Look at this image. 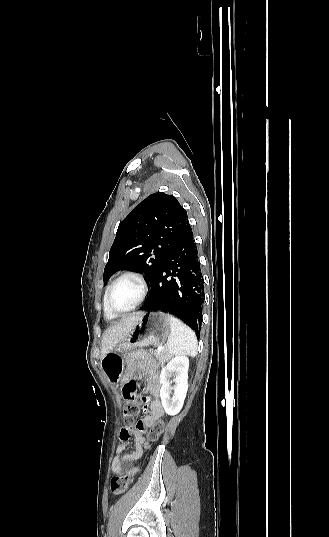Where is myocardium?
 <instances>
[{"label":"myocardium","instance_id":"1","mask_svg":"<svg viewBox=\"0 0 329 537\" xmlns=\"http://www.w3.org/2000/svg\"><path fill=\"white\" fill-rule=\"evenodd\" d=\"M124 278H134L139 282V284L141 286V296L138 299V301L131 308H129L127 310H124V311H118L111 304V295H112V292H113L114 288L116 287V285ZM147 293H148V283H147L146 278L141 273H139L137 271H125L122 274H120L110 284V286H109V288L107 290V294H106V305H107V308L110 310V312H112L113 314H115V315H123V314H126V313L131 312L134 309H136L145 300V298L147 296Z\"/></svg>","mask_w":329,"mask_h":537}]
</instances>
